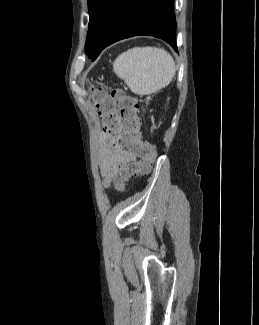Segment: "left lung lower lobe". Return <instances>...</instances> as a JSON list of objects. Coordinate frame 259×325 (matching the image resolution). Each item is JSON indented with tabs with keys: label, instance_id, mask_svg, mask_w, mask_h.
I'll use <instances>...</instances> for the list:
<instances>
[{
	"label": "left lung lower lobe",
	"instance_id": "0a47b994",
	"mask_svg": "<svg viewBox=\"0 0 259 325\" xmlns=\"http://www.w3.org/2000/svg\"><path fill=\"white\" fill-rule=\"evenodd\" d=\"M174 0H123L104 34L102 49L138 35L163 39L177 50Z\"/></svg>",
	"mask_w": 259,
	"mask_h": 325
}]
</instances>
